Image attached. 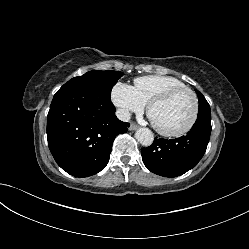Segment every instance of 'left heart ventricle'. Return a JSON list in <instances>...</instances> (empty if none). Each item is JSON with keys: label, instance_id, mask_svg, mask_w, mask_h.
<instances>
[{"label": "left heart ventricle", "instance_id": "b2bd125f", "mask_svg": "<svg viewBox=\"0 0 249 249\" xmlns=\"http://www.w3.org/2000/svg\"><path fill=\"white\" fill-rule=\"evenodd\" d=\"M193 99L188 93H180L167 102L155 106L151 112V120L166 131L183 128L191 119Z\"/></svg>", "mask_w": 249, "mask_h": 249}]
</instances>
